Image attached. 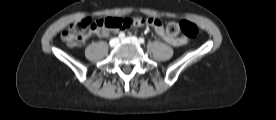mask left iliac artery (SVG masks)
<instances>
[{
    "label": "left iliac artery",
    "mask_w": 276,
    "mask_h": 120,
    "mask_svg": "<svg viewBox=\"0 0 276 120\" xmlns=\"http://www.w3.org/2000/svg\"><path fill=\"white\" fill-rule=\"evenodd\" d=\"M139 42L143 44L145 42L144 38L140 37Z\"/></svg>",
    "instance_id": "obj_1"
}]
</instances>
